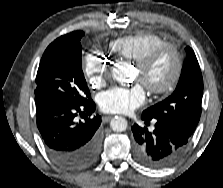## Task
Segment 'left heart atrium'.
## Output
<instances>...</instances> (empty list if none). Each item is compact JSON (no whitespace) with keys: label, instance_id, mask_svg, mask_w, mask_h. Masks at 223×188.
<instances>
[{"label":"left heart atrium","instance_id":"obj_1","mask_svg":"<svg viewBox=\"0 0 223 188\" xmlns=\"http://www.w3.org/2000/svg\"><path fill=\"white\" fill-rule=\"evenodd\" d=\"M146 99V92L141 83L130 87L115 86L98 96L100 109L110 114L130 113L141 106Z\"/></svg>","mask_w":223,"mask_h":188}]
</instances>
